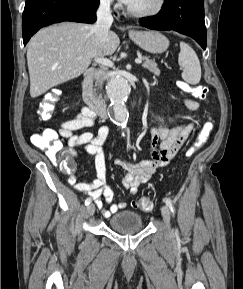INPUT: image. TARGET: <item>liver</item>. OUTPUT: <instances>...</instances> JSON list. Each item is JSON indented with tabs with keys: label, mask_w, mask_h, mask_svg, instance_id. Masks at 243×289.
<instances>
[{
	"label": "liver",
	"mask_w": 243,
	"mask_h": 289,
	"mask_svg": "<svg viewBox=\"0 0 243 289\" xmlns=\"http://www.w3.org/2000/svg\"><path fill=\"white\" fill-rule=\"evenodd\" d=\"M119 44L118 36L110 31L99 48L90 24L65 22L41 29L27 47L30 96L36 98L80 76L93 58L112 55Z\"/></svg>",
	"instance_id": "liver-1"
}]
</instances>
